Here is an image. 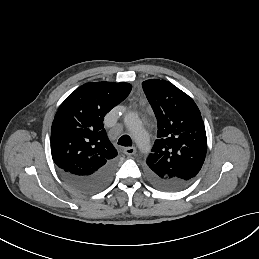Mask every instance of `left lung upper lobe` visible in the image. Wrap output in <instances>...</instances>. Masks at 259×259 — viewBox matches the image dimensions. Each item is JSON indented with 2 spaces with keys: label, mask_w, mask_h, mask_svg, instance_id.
Listing matches in <instances>:
<instances>
[{
  "label": "left lung upper lobe",
  "mask_w": 259,
  "mask_h": 259,
  "mask_svg": "<svg viewBox=\"0 0 259 259\" xmlns=\"http://www.w3.org/2000/svg\"><path fill=\"white\" fill-rule=\"evenodd\" d=\"M157 119L158 132L147 172L165 182L189 183L200 171L207 153L201 113L183 91L165 80L142 83Z\"/></svg>",
  "instance_id": "obj_1"
}]
</instances>
